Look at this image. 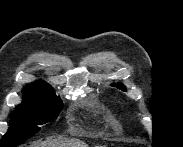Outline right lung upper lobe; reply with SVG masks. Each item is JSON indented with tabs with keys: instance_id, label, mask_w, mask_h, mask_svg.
<instances>
[{
	"instance_id": "right-lung-upper-lobe-1",
	"label": "right lung upper lobe",
	"mask_w": 183,
	"mask_h": 147,
	"mask_svg": "<svg viewBox=\"0 0 183 147\" xmlns=\"http://www.w3.org/2000/svg\"><path fill=\"white\" fill-rule=\"evenodd\" d=\"M23 90H48L53 91L51 86L43 81H37L32 84L27 85Z\"/></svg>"
}]
</instances>
